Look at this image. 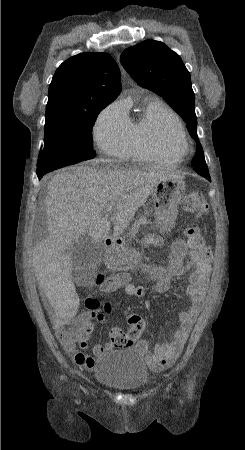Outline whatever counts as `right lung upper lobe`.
Wrapping results in <instances>:
<instances>
[{"instance_id":"cb5924a9","label":"right lung upper lobe","mask_w":245,"mask_h":450,"mask_svg":"<svg viewBox=\"0 0 245 450\" xmlns=\"http://www.w3.org/2000/svg\"><path fill=\"white\" fill-rule=\"evenodd\" d=\"M120 91V70L109 54H78L56 70L49 86L46 112L89 111L98 104H110Z\"/></svg>"}]
</instances>
